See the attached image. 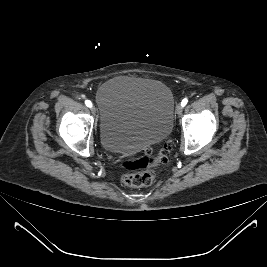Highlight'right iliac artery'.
Instances as JSON below:
<instances>
[{"label": "right iliac artery", "instance_id": "right-iliac-artery-1", "mask_svg": "<svg viewBox=\"0 0 267 267\" xmlns=\"http://www.w3.org/2000/svg\"><path fill=\"white\" fill-rule=\"evenodd\" d=\"M85 104H86L88 107H91V106H92V103H91L89 100H86V101H85Z\"/></svg>", "mask_w": 267, "mask_h": 267}]
</instances>
